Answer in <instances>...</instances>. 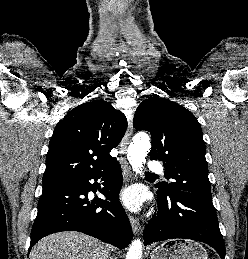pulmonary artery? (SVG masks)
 Wrapping results in <instances>:
<instances>
[{
  "mask_svg": "<svg viewBox=\"0 0 248 259\" xmlns=\"http://www.w3.org/2000/svg\"><path fill=\"white\" fill-rule=\"evenodd\" d=\"M148 170L150 173H160L163 171V166L158 161H150L148 163Z\"/></svg>",
  "mask_w": 248,
  "mask_h": 259,
  "instance_id": "1",
  "label": "pulmonary artery"
}]
</instances>
